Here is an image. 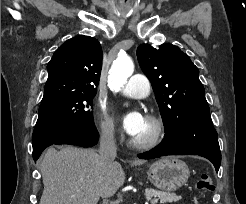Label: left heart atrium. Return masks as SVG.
Wrapping results in <instances>:
<instances>
[{
  "instance_id": "obj_1",
  "label": "left heart atrium",
  "mask_w": 246,
  "mask_h": 204,
  "mask_svg": "<svg viewBox=\"0 0 246 204\" xmlns=\"http://www.w3.org/2000/svg\"><path fill=\"white\" fill-rule=\"evenodd\" d=\"M144 121V116L141 112L137 110L128 111L121 117L122 127L124 131L132 137L140 131Z\"/></svg>"
}]
</instances>
